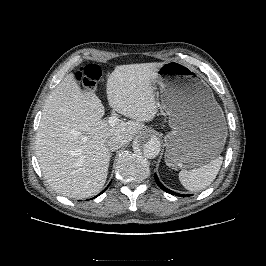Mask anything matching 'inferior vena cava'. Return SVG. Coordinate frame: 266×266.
I'll return each mask as SVG.
<instances>
[{"label":"inferior vena cava","mask_w":266,"mask_h":266,"mask_svg":"<svg viewBox=\"0 0 266 266\" xmlns=\"http://www.w3.org/2000/svg\"><path fill=\"white\" fill-rule=\"evenodd\" d=\"M125 143L126 141L122 136L116 135L108 139L106 146L110 151H115L121 148Z\"/></svg>","instance_id":"inferior-vena-cava-1"}]
</instances>
